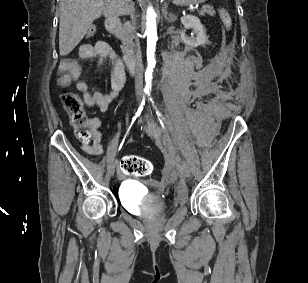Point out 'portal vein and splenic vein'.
Here are the masks:
<instances>
[{
  "mask_svg": "<svg viewBox=\"0 0 308 283\" xmlns=\"http://www.w3.org/2000/svg\"><path fill=\"white\" fill-rule=\"evenodd\" d=\"M192 10H198V6H194Z\"/></svg>",
  "mask_w": 308,
  "mask_h": 283,
  "instance_id": "18ae733b",
  "label": "portal vein and splenic vein"
}]
</instances>
